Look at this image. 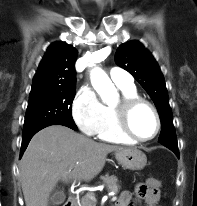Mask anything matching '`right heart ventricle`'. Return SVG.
<instances>
[{"mask_svg": "<svg viewBox=\"0 0 197 206\" xmlns=\"http://www.w3.org/2000/svg\"><path fill=\"white\" fill-rule=\"evenodd\" d=\"M124 96H138L135 86L117 85ZM99 139L112 143H128L130 140L120 133L115 122L112 106H104V115L96 132Z\"/></svg>", "mask_w": 197, "mask_h": 206, "instance_id": "right-heart-ventricle-1", "label": "right heart ventricle"}]
</instances>
